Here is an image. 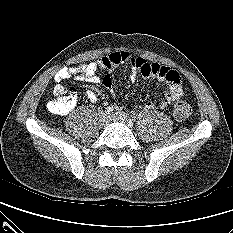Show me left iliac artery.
<instances>
[{
	"label": "left iliac artery",
	"mask_w": 233,
	"mask_h": 233,
	"mask_svg": "<svg viewBox=\"0 0 233 233\" xmlns=\"http://www.w3.org/2000/svg\"><path fill=\"white\" fill-rule=\"evenodd\" d=\"M131 120H132V121H136V116L131 115Z\"/></svg>",
	"instance_id": "left-iliac-artery-1"
}]
</instances>
